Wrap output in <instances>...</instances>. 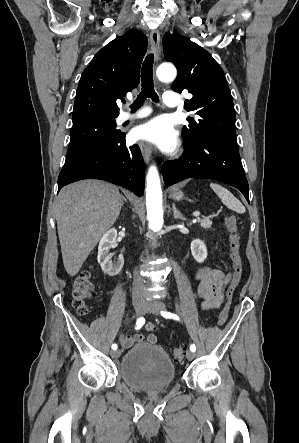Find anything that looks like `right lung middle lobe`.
I'll list each match as a JSON object with an SVG mask.
<instances>
[{
	"instance_id": "dd1d6c3e",
	"label": "right lung middle lobe",
	"mask_w": 299,
	"mask_h": 443,
	"mask_svg": "<svg viewBox=\"0 0 299 443\" xmlns=\"http://www.w3.org/2000/svg\"><path fill=\"white\" fill-rule=\"evenodd\" d=\"M116 126L115 117H95L73 123L66 161L95 145L114 140L121 133Z\"/></svg>"
}]
</instances>
